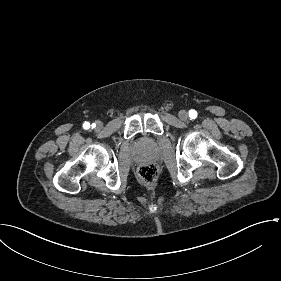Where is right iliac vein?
Returning a JSON list of instances; mask_svg holds the SVG:
<instances>
[{
	"label": "right iliac vein",
	"mask_w": 281,
	"mask_h": 281,
	"mask_svg": "<svg viewBox=\"0 0 281 281\" xmlns=\"http://www.w3.org/2000/svg\"><path fill=\"white\" fill-rule=\"evenodd\" d=\"M102 128V123L101 122H97L96 123V130H100Z\"/></svg>",
	"instance_id": "1"
}]
</instances>
